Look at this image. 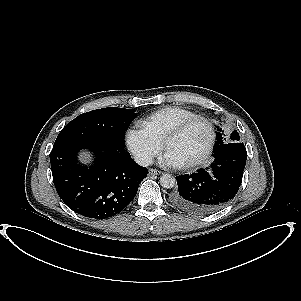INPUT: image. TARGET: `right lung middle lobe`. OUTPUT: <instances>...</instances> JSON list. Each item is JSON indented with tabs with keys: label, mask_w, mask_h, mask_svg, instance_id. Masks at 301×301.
Instances as JSON below:
<instances>
[{
	"label": "right lung middle lobe",
	"mask_w": 301,
	"mask_h": 301,
	"mask_svg": "<svg viewBox=\"0 0 301 301\" xmlns=\"http://www.w3.org/2000/svg\"><path fill=\"white\" fill-rule=\"evenodd\" d=\"M135 115L133 109L117 107L83 113L60 131L54 144L101 140L124 148V134Z\"/></svg>",
	"instance_id": "right-lung-middle-lobe-1"
}]
</instances>
